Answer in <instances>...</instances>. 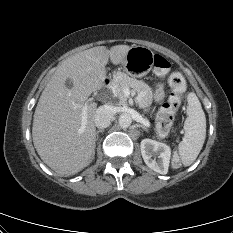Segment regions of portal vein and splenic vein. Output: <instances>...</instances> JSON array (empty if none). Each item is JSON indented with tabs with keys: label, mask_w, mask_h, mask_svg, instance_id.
Returning <instances> with one entry per match:
<instances>
[{
	"label": "portal vein and splenic vein",
	"mask_w": 233,
	"mask_h": 233,
	"mask_svg": "<svg viewBox=\"0 0 233 233\" xmlns=\"http://www.w3.org/2000/svg\"><path fill=\"white\" fill-rule=\"evenodd\" d=\"M128 95H129L128 90H125V96L128 97ZM74 105L77 106L76 104H74ZM87 107H88L87 104H85L82 107V126H81V130L85 129V127H86V123H87Z\"/></svg>",
	"instance_id": "1"
}]
</instances>
